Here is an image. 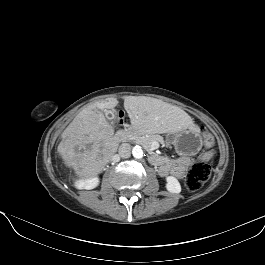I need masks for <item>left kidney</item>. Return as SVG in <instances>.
Segmentation results:
<instances>
[{
  "label": "left kidney",
  "instance_id": "5707ae66",
  "mask_svg": "<svg viewBox=\"0 0 265 265\" xmlns=\"http://www.w3.org/2000/svg\"><path fill=\"white\" fill-rule=\"evenodd\" d=\"M166 189L171 192V193H175L178 194L181 192V185L179 183V181L173 177V176H168L166 178Z\"/></svg>",
  "mask_w": 265,
  "mask_h": 265
}]
</instances>
